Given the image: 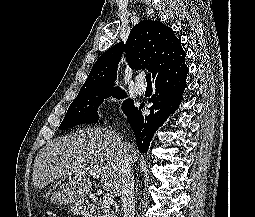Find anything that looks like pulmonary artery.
Masks as SVG:
<instances>
[{
	"mask_svg": "<svg viewBox=\"0 0 255 217\" xmlns=\"http://www.w3.org/2000/svg\"><path fill=\"white\" fill-rule=\"evenodd\" d=\"M144 80L143 75H139L136 77L135 85H134V90L137 95H142L144 94L146 88L144 85H142V81Z\"/></svg>",
	"mask_w": 255,
	"mask_h": 217,
	"instance_id": "obj_1",
	"label": "pulmonary artery"
}]
</instances>
